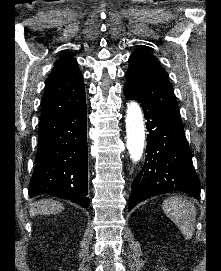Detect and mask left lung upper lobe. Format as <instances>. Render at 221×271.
<instances>
[{"label":"left lung upper lobe","instance_id":"1","mask_svg":"<svg viewBox=\"0 0 221 271\" xmlns=\"http://www.w3.org/2000/svg\"><path fill=\"white\" fill-rule=\"evenodd\" d=\"M125 85L166 114L181 120L168 74L148 50L138 49L131 54Z\"/></svg>","mask_w":221,"mask_h":271}]
</instances>
